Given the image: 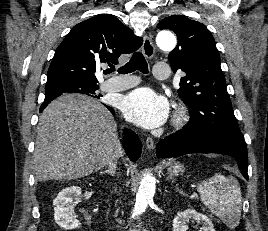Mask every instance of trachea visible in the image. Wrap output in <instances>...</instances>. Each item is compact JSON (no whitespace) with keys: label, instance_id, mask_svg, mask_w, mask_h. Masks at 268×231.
I'll return each mask as SVG.
<instances>
[{"label":"trachea","instance_id":"obj_1","mask_svg":"<svg viewBox=\"0 0 268 231\" xmlns=\"http://www.w3.org/2000/svg\"><path fill=\"white\" fill-rule=\"evenodd\" d=\"M115 70L114 66H111L110 69L106 70V74H109ZM139 70L142 73H148V65L145 60V57L140 52H135L130 61L123 67H121L118 71L121 74H128Z\"/></svg>","mask_w":268,"mask_h":231}]
</instances>
